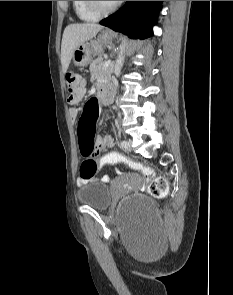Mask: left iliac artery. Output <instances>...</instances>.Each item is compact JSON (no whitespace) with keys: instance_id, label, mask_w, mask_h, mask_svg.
<instances>
[{"instance_id":"left-iliac-artery-1","label":"left iliac artery","mask_w":233,"mask_h":295,"mask_svg":"<svg viewBox=\"0 0 233 295\" xmlns=\"http://www.w3.org/2000/svg\"><path fill=\"white\" fill-rule=\"evenodd\" d=\"M120 143H121L122 145H127V140H122Z\"/></svg>"}]
</instances>
